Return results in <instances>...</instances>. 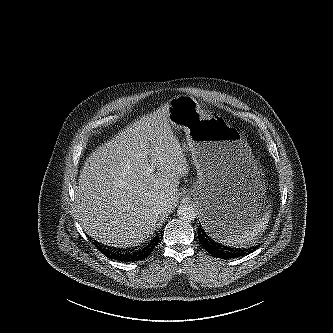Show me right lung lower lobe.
I'll list each match as a JSON object with an SVG mask.
<instances>
[{
  "instance_id": "98d812e1",
  "label": "right lung lower lobe",
  "mask_w": 333,
  "mask_h": 333,
  "mask_svg": "<svg viewBox=\"0 0 333 333\" xmlns=\"http://www.w3.org/2000/svg\"><path fill=\"white\" fill-rule=\"evenodd\" d=\"M158 239L159 236L153 237V239L150 240L148 245L133 254H118L102 247H99V250L108 258H113L120 261H139L145 259L148 255H150L154 247L158 244Z\"/></svg>"
}]
</instances>
